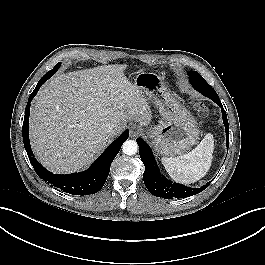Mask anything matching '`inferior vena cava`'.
I'll use <instances>...</instances> for the list:
<instances>
[{
	"mask_svg": "<svg viewBox=\"0 0 265 265\" xmlns=\"http://www.w3.org/2000/svg\"><path fill=\"white\" fill-rule=\"evenodd\" d=\"M107 134H108L109 136H114V135H115V129H114L113 127H109V128L107 129Z\"/></svg>",
	"mask_w": 265,
	"mask_h": 265,
	"instance_id": "602c4592",
	"label": "inferior vena cava"
}]
</instances>
